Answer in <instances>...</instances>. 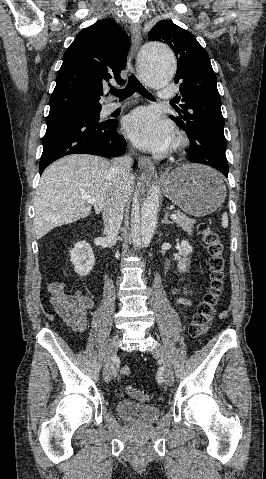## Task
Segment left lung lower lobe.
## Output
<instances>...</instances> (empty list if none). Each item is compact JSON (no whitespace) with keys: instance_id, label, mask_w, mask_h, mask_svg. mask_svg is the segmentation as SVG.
<instances>
[{"instance_id":"1","label":"left lung lower lobe","mask_w":266,"mask_h":479,"mask_svg":"<svg viewBox=\"0 0 266 479\" xmlns=\"http://www.w3.org/2000/svg\"><path fill=\"white\" fill-rule=\"evenodd\" d=\"M189 160H190V159H189ZM212 167L219 169L226 177H228V170H229L228 166H226V165H224V164H223V165H221V164H215V165L212 166Z\"/></svg>"}]
</instances>
